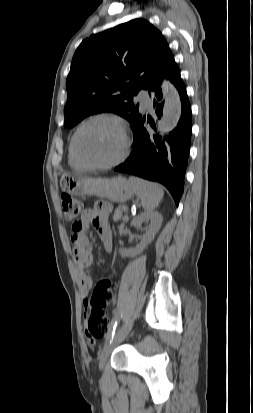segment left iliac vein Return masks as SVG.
Here are the masks:
<instances>
[{
	"label": "left iliac vein",
	"mask_w": 253,
	"mask_h": 413,
	"mask_svg": "<svg viewBox=\"0 0 253 413\" xmlns=\"http://www.w3.org/2000/svg\"><path fill=\"white\" fill-rule=\"evenodd\" d=\"M131 328H132L131 323L123 325L115 334L112 342L105 345V347L103 348V350L101 351L99 355V368L100 369L104 367L114 347L117 346L119 343H121L125 339V337L130 332Z\"/></svg>",
	"instance_id": "obj_1"
}]
</instances>
